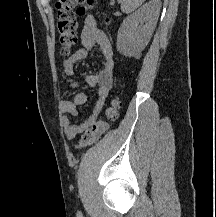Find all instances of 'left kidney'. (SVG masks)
I'll list each match as a JSON object with an SVG mask.
<instances>
[{"mask_svg": "<svg viewBox=\"0 0 216 217\" xmlns=\"http://www.w3.org/2000/svg\"><path fill=\"white\" fill-rule=\"evenodd\" d=\"M160 7L159 0H151L124 19L116 43L121 54L137 57L144 50L156 27Z\"/></svg>", "mask_w": 216, "mask_h": 217, "instance_id": "1", "label": "left kidney"}]
</instances>
